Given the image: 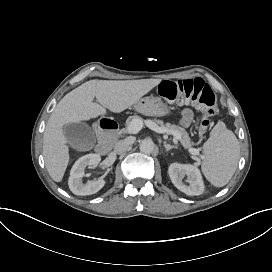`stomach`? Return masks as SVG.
Returning <instances> with one entry per match:
<instances>
[{"label": "stomach", "instance_id": "1", "mask_svg": "<svg viewBox=\"0 0 272 272\" xmlns=\"http://www.w3.org/2000/svg\"><path fill=\"white\" fill-rule=\"evenodd\" d=\"M135 108L147 116L165 117L172 114V108L162 99L154 96L142 98L135 104Z\"/></svg>", "mask_w": 272, "mask_h": 272}]
</instances>
